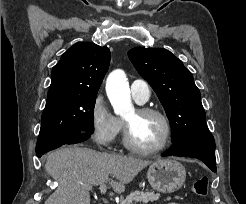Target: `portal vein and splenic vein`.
Returning <instances> with one entry per match:
<instances>
[{"mask_svg": "<svg viewBox=\"0 0 246 204\" xmlns=\"http://www.w3.org/2000/svg\"><path fill=\"white\" fill-rule=\"evenodd\" d=\"M87 188H88L89 190H91L93 187H92V186H87ZM99 190H100L101 194H105L106 191H107L106 184L101 183L100 186H99Z\"/></svg>", "mask_w": 246, "mask_h": 204, "instance_id": "1", "label": "portal vein and splenic vein"}]
</instances>
